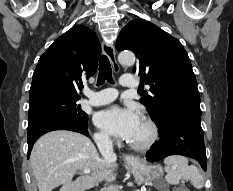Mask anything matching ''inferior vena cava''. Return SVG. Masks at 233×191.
I'll return each mask as SVG.
<instances>
[{
  "instance_id": "inferior-vena-cava-1",
  "label": "inferior vena cava",
  "mask_w": 233,
  "mask_h": 191,
  "mask_svg": "<svg viewBox=\"0 0 233 191\" xmlns=\"http://www.w3.org/2000/svg\"><path fill=\"white\" fill-rule=\"evenodd\" d=\"M99 150L107 162H115L116 154L113 151V144L109 138H104L98 145Z\"/></svg>"
}]
</instances>
